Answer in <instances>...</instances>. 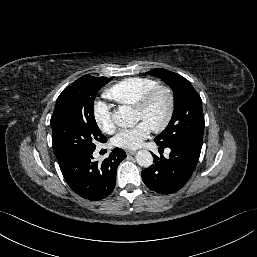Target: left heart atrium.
<instances>
[{
    "mask_svg": "<svg viewBox=\"0 0 257 257\" xmlns=\"http://www.w3.org/2000/svg\"><path fill=\"white\" fill-rule=\"evenodd\" d=\"M151 127L141 121L132 128L123 129L113 138V144L124 149H136L148 138Z\"/></svg>",
    "mask_w": 257,
    "mask_h": 257,
    "instance_id": "1",
    "label": "left heart atrium"
}]
</instances>
